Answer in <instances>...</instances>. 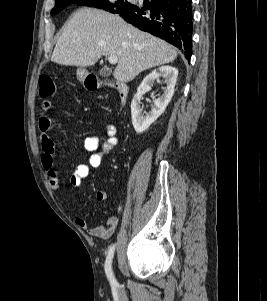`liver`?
Listing matches in <instances>:
<instances>
[{
    "label": "liver",
    "instance_id": "liver-1",
    "mask_svg": "<svg viewBox=\"0 0 267 301\" xmlns=\"http://www.w3.org/2000/svg\"><path fill=\"white\" fill-rule=\"evenodd\" d=\"M102 56H116L113 76L130 82L144 70L173 62L177 51L165 41L126 23L119 15L94 8L73 13L51 60L65 66H93Z\"/></svg>",
    "mask_w": 267,
    "mask_h": 301
}]
</instances>
